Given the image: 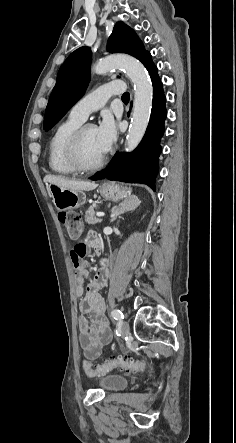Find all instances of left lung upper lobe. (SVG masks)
Wrapping results in <instances>:
<instances>
[{
	"label": "left lung upper lobe",
	"instance_id": "5c2ea615",
	"mask_svg": "<svg viewBox=\"0 0 236 443\" xmlns=\"http://www.w3.org/2000/svg\"><path fill=\"white\" fill-rule=\"evenodd\" d=\"M111 53H127L141 62L148 53L134 30L117 22L107 43ZM91 50L80 47L60 67L44 118V129H51L83 96L90 80Z\"/></svg>",
	"mask_w": 236,
	"mask_h": 443
}]
</instances>
